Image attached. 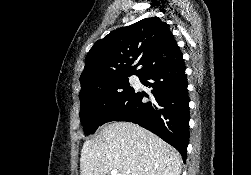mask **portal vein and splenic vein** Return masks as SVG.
I'll use <instances>...</instances> for the list:
<instances>
[{
	"instance_id": "portal-vein-and-splenic-vein-1",
	"label": "portal vein and splenic vein",
	"mask_w": 251,
	"mask_h": 175,
	"mask_svg": "<svg viewBox=\"0 0 251 175\" xmlns=\"http://www.w3.org/2000/svg\"><path fill=\"white\" fill-rule=\"evenodd\" d=\"M111 175H129V173H118L117 169H111Z\"/></svg>"
}]
</instances>
